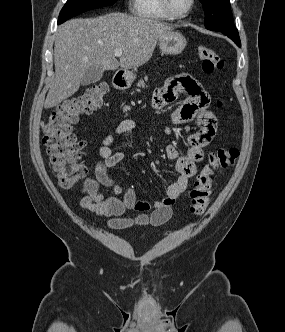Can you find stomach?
<instances>
[{
	"label": "stomach",
	"mask_w": 285,
	"mask_h": 332,
	"mask_svg": "<svg viewBox=\"0 0 285 332\" xmlns=\"http://www.w3.org/2000/svg\"><path fill=\"white\" fill-rule=\"evenodd\" d=\"M187 44L186 38L178 32H170L159 39V47L162 53L176 55L182 53ZM136 75L132 71L126 70L123 75V81L126 87H130Z\"/></svg>",
	"instance_id": "0dacf381"
}]
</instances>
